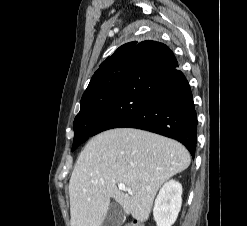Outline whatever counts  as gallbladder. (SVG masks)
Listing matches in <instances>:
<instances>
[{
	"label": "gallbladder",
	"mask_w": 247,
	"mask_h": 226,
	"mask_svg": "<svg viewBox=\"0 0 247 226\" xmlns=\"http://www.w3.org/2000/svg\"><path fill=\"white\" fill-rule=\"evenodd\" d=\"M124 222V210L116 202L111 203L101 226H121Z\"/></svg>",
	"instance_id": "1"
}]
</instances>
